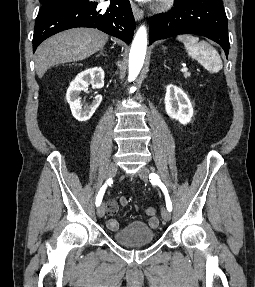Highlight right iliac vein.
<instances>
[{
  "label": "right iliac vein",
  "instance_id": "1",
  "mask_svg": "<svg viewBox=\"0 0 255 287\" xmlns=\"http://www.w3.org/2000/svg\"><path fill=\"white\" fill-rule=\"evenodd\" d=\"M117 172V166L115 163H111L108 167L107 170V177L108 178H112L116 175ZM106 211V206L104 203H102L101 205H99V207L97 208V215L99 218H102L105 214Z\"/></svg>",
  "mask_w": 255,
  "mask_h": 287
}]
</instances>
